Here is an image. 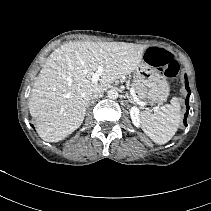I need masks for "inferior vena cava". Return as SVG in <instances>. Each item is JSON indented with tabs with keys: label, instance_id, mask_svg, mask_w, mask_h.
Wrapping results in <instances>:
<instances>
[{
	"label": "inferior vena cava",
	"instance_id": "obj_1",
	"mask_svg": "<svg viewBox=\"0 0 211 211\" xmlns=\"http://www.w3.org/2000/svg\"><path fill=\"white\" fill-rule=\"evenodd\" d=\"M102 94H103V91L98 90V91H96L95 93H93V94L91 95V99L99 98L100 96H102Z\"/></svg>",
	"mask_w": 211,
	"mask_h": 211
}]
</instances>
